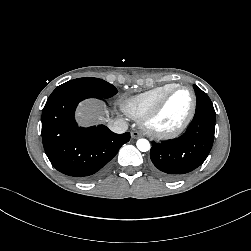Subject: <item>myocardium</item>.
<instances>
[{"label":"myocardium","mask_w":251,"mask_h":251,"mask_svg":"<svg viewBox=\"0 0 251 251\" xmlns=\"http://www.w3.org/2000/svg\"><path fill=\"white\" fill-rule=\"evenodd\" d=\"M187 90L192 97L191 108L184 119V121L176 128L172 130H159L154 127V121L162 111L168 98L177 90ZM197 108V97L194 90L189 86L175 85L165 92L162 97L156 102V104L148 111V113L141 119V126L144 131L151 137L156 139H172L181 135L192 122Z\"/></svg>","instance_id":"1"}]
</instances>
